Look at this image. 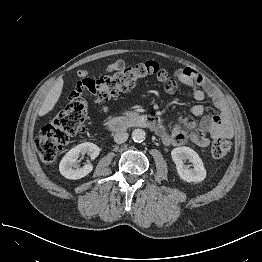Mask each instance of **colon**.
Returning a JSON list of instances; mask_svg holds the SVG:
<instances>
[{"mask_svg": "<svg viewBox=\"0 0 262 262\" xmlns=\"http://www.w3.org/2000/svg\"><path fill=\"white\" fill-rule=\"evenodd\" d=\"M152 75L165 77L163 68L155 61L127 66L116 62L108 66L106 75L98 78H90L85 71H79L71 85L74 95L69 96L67 104L41 126L34 139L41 160L47 165L54 164L68 140L83 131L87 115L86 105L80 96L83 92H90L97 103H102ZM230 150L231 143L224 138L214 140L210 146V153L215 159L224 158Z\"/></svg>", "mask_w": 262, "mask_h": 262, "instance_id": "obj_1", "label": "colon"}]
</instances>
